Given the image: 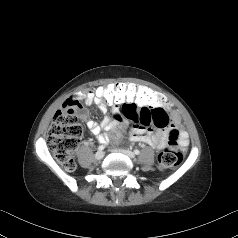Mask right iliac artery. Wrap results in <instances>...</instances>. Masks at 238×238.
Listing matches in <instances>:
<instances>
[{
    "label": "right iliac artery",
    "instance_id": "1",
    "mask_svg": "<svg viewBox=\"0 0 238 238\" xmlns=\"http://www.w3.org/2000/svg\"><path fill=\"white\" fill-rule=\"evenodd\" d=\"M104 148H105L104 145H100V146L98 147V150H99V151H102V150H104Z\"/></svg>",
    "mask_w": 238,
    "mask_h": 238
}]
</instances>
